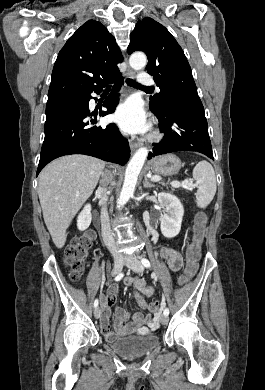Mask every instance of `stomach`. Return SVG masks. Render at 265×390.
<instances>
[{"instance_id":"1","label":"stomach","mask_w":265,"mask_h":390,"mask_svg":"<svg viewBox=\"0 0 265 390\" xmlns=\"http://www.w3.org/2000/svg\"><path fill=\"white\" fill-rule=\"evenodd\" d=\"M182 164L180 159L174 154H166L154 158L150 162V169L160 175L173 176L177 174Z\"/></svg>"}]
</instances>
